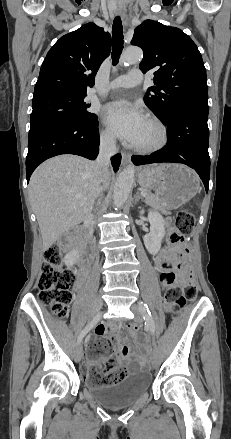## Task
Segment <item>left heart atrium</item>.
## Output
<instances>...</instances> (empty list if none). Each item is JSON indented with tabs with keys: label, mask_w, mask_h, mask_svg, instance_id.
I'll list each match as a JSON object with an SVG mask.
<instances>
[{
	"label": "left heart atrium",
	"mask_w": 231,
	"mask_h": 439,
	"mask_svg": "<svg viewBox=\"0 0 231 439\" xmlns=\"http://www.w3.org/2000/svg\"><path fill=\"white\" fill-rule=\"evenodd\" d=\"M104 120L120 139L131 145H136L147 122L142 110L127 100L106 105Z\"/></svg>",
	"instance_id": "obj_1"
}]
</instances>
